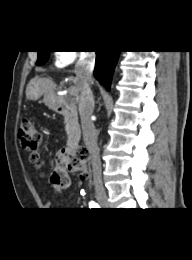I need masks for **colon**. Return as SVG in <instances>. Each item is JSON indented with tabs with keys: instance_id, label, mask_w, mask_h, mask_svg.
I'll use <instances>...</instances> for the list:
<instances>
[{
	"instance_id": "1",
	"label": "colon",
	"mask_w": 192,
	"mask_h": 260,
	"mask_svg": "<svg viewBox=\"0 0 192 260\" xmlns=\"http://www.w3.org/2000/svg\"><path fill=\"white\" fill-rule=\"evenodd\" d=\"M18 139L22 148L29 152L30 160L40 163L39 144L40 133L34 122L29 118L21 121L18 130ZM88 151L80 148L76 152H62L55 160V167L51 175L53 187L59 191L66 190L71 185V174L77 173L82 180L89 177L87 169Z\"/></svg>"
}]
</instances>
